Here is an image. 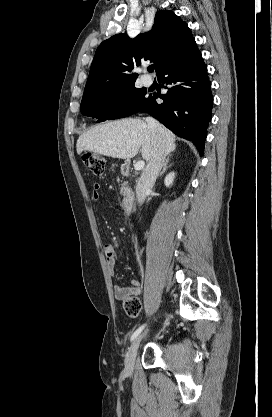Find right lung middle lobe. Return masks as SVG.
<instances>
[{"label": "right lung middle lobe", "mask_w": 272, "mask_h": 417, "mask_svg": "<svg viewBox=\"0 0 272 417\" xmlns=\"http://www.w3.org/2000/svg\"><path fill=\"white\" fill-rule=\"evenodd\" d=\"M145 88L134 85L114 91H100L84 94L80 111L84 116L98 119V122L127 117L145 105L148 100Z\"/></svg>", "instance_id": "1"}]
</instances>
